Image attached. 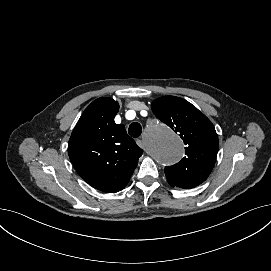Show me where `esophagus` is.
<instances>
[{
  "instance_id": "34e87169",
  "label": "esophagus",
  "mask_w": 271,
  "mask_h": 271,
  "mask_svg": "<svg viewBox=\"0 0 271 271\" xmlns=\"http://www.w3.org/2000/svg\"><path fill=\"white\" fill-rule=\"evenodd\" d=\"M136 143L138 144V146L142 147L143 144L145 143V138L143 136H138L136 138ZM148 153V152H147ZM149 154V153H148ZM153 153L151 152V154L149 155H152Z\"/></svg>"
}]
</instances>
